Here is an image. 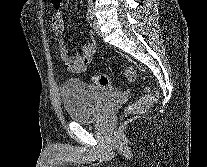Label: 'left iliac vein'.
Masks as SVG:
<instances>
[{"label":"left iliac vein","instance_id":"left-iliac-vein-1","mask_svg":"<svg viewBox=\"0 0 207 167\" xmlns=\"http://www.w3.org/2000/svg\"><path fill=\"white\" fill-rule=\"evenodd\" d=\"M93 30L97 35H100V26L96 19L93 20Z\"/></svg>","mask_w":207,"mask_h":167}]
</instances>
